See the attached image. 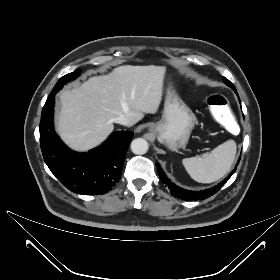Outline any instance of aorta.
Here are the masks:
<instances>
[{
	"label": "aorta",
	"mask_w": 280,
	"mask_h": 280,
	"mask_svg": "<svg viewBox=\"0 0 280 280\" xmlns=\"http://www.w3.org/2000/svg\"><path fill=\"white\" fill-rule=\"evenodd\" d=\"M148 148V142L143 138H136L131 142V151L134 154H145L148 151Z\"/></svg>",
	"instance_id": "obj_1"
}]
</instances>
